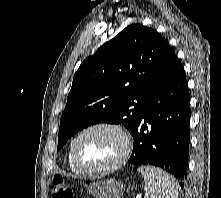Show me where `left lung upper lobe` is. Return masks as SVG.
Masks as SVG:
<instances>
[{
  "instance_id": "1",
  "label": "left lung upper lobe",
  "mask_w": 221,
  "mask_h": 198,
  "mask_svg": "<svg viewBox=\"0 0 221 198\" xmlns=\"http://www.w3.org/2000/svg\"><path fill=\"white\" fill-rule=\"evenodd\" d=\"M174 54L154 29L132 24L86 58L74 75L61 116L57 150L97 123H122L132 134L148 94Z\"/></svg>"
}]
</instances>
